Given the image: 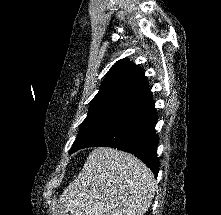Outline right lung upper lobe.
<instances>
[{
    "label": "right lung upper lobe",
    "mask_w": 221,
    "mask_h": 215,
    "mask_svg": "<svg viewBox=\"0 0 221 215\" xmlns=\"http://www.w3.org/2000/svg\"><path fill=\"white\" fill-rule=\"evenodd\" d=\"M152 101L141 68L127 59L116 62L90 103V113L125 117Z\"/></svg>",
    "instance_id": "right-lung-upper-lobe-1"
}]
</instances>
